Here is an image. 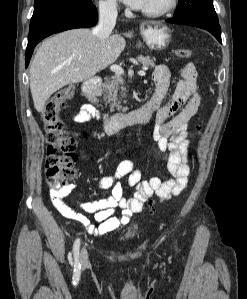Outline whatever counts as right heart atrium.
<instances>
[{
    "label": "right heart atrium",
    "instance_id": "1",
    "mask_svg": "<svg viewBox=\"0 0 247 299\" xmlns=\"http://www.w3.org/2000/svg\"><path fill=\"white\" fill-rule=\"evenodd\" d=\"M98 8L104 18H113L118 12L116 0H99Z\"/></svg>",
    "mask_w": 247,
    "mask_h": 299
}]
</instances>
